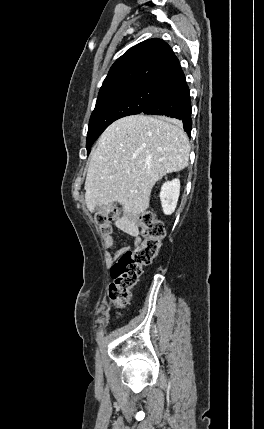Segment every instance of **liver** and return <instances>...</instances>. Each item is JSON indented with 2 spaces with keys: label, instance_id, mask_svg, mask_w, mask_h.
<instances>
[{
  "label": "liver",
  "instance_id": "1",
  "mask_svg": "<svg viewBox=\"0 0 264 429\" xmlns=\"http://www.w3.org/2000/svg\"><path fill=\"white\" fill-rule=\"evenodd\" d=\"M190 144L182 124L166 117L131 115L112 123L100 136L90 158L85 202L97 206L122 205L115 225L137 236V217L149 208L155 183L181 171L189 162Z\"/></svg>",
  "mask_w": 264,
  "mask_h": 429
}]
</instances>
